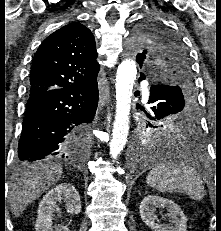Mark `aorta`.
I'll return each mask as SVG.
<instances>
[{"instance_id":"aorta-1","label":"aorta","mask_w":221,"mask_h":231,"mask_svg":"<svg viewBox=\"0 0 221 231\" xmlns=\"http://www.w3.org/2000/svg\"><path fill=\"white\" fill-rule=\"evenodd\" d=\"M137 75L136 64L131 59L123 60L116 75V113L110 142V156L116 159L122 152L129 133V114L132 89ZM141 162H148L141 160Z\"/></svg>"}]
</instances>
